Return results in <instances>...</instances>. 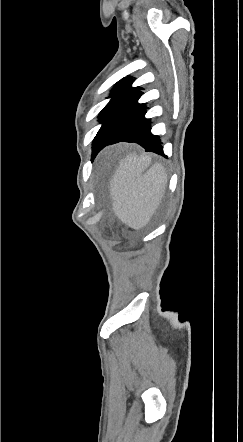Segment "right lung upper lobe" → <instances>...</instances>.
<instances>
[{
    "label": "right lung upper lobe",
    "instance_id": "cb5924a9",
    "mask_svg": "<svg viewBox=\"0 0 243 442\" xmlns=\"http://www.w3.org/2000/svg\"><path fill=\"white\" fill-rule=\"evenodd\" d=\"M133 81V79L128 77H125L124 79L119 81L116 84V87L111 91V96L126 98L127 96L141 89L140 87L132 88L131 84L133 83Z\"/></svg>",
    "mask_w": 243,
    "mask_h": 442
}]
</instances>
